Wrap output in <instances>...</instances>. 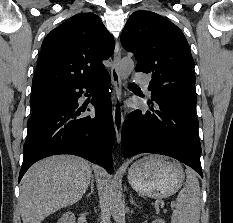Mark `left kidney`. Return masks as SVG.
<instances>
[{
    "label": "left kidney",
    "instance_id": "5707ae66",
    "mask_svg": "<svg viewBox=\"0 0 233 223\" xmlns=\"http://www.w3.org/2000/svg\"><path fill=\"white\" fill-rule=\"evenodd\" d=\"M152 223H165L164 219H154Z\"/></svg>",
    "mask_w": 233,
    "mask_h": 223
}]
</instances>
